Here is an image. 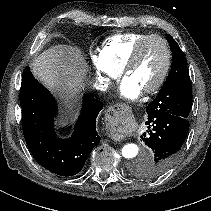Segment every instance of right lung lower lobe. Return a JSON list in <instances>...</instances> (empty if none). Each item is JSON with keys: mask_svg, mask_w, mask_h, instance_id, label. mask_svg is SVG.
Segmentation results:
<instances>
[{"mask_svg": "<svg viewBox=\"0 0 211 211\" xmlns=\"http://www.w3.org/2000/svg\"><path fill=\"white\" fill-rule=\"evenodd\" d=\"M20 104L23 134L35 160L60 176L79 173L101 140L96 131V118L103 108L102 102L87 93L72 136L61 139L54 129L56 101L26 67L22 75Z\"/></svg>", "mask_w": 211, "mask_h": 211, "instance_id": "98d812e1", "label": "right lung lower lobe"}]
</instances>
